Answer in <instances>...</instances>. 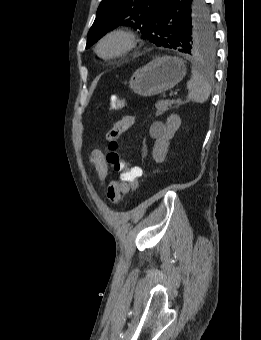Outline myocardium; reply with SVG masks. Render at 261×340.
Here are the masks:
<instances>
[{
  "mask_svg": "<svg viewBox=\"0 0 261 340\" xmlns=\"http://www.w3.org/2000/svg\"><path fill=\"white\" fill-rule=\"evenodd\" d=\"M111 39H118L122 42V46L119 50H117L114 53L111 54H104L102 52V46L104 43ZM138 43V37L137 34L127 28L119 27L114 28L112 30H109L106 32L97 42L96 44V53L99 57H101L104 60H113L117 59L119 57H122L129 53L131 50L135 48V46Z\"/></svg>",
  "mask_w": 261,
  "mask_h": 340,
  "instance_id": "1",
  "label": "myocardium"
}]
</instances>
